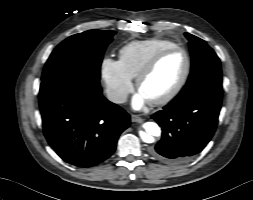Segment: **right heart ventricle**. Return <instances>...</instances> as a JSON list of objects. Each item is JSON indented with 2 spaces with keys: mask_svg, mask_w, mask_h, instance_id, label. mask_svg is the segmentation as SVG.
Wrapping results in <instances>:
<instances>
[{
  "mask_svg": "<svg viewBox=\"0 0 253 200\" xmlns=\"http://www.w3.org/2000/svg\"><path fill=\"white\" fill-rule=\"evenodd\" d=\"M173 46H176L174 42L161 38L131 41L120 48L119 61L124 71L134 78L157 53Z\"/></svg>",
  "mask_w": 253,
  "mask_h": 200,
  "instance_id": "1",
  "label": "right heart ventricle"
}]
</instances>
